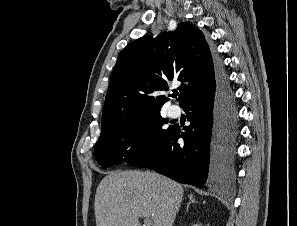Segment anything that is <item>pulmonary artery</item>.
Segmentation results:
<instances>
[{"label":"pulmonary artery","instance_id":"1","mask_svg":"<svg viewBox=\"0 0 297 226\" xmlns=\"http://www.w3.org/2000/svg\"><path fill=\"white\" fill-rule=\"evenodd\" d=\"M169 115L172 118H177L181 115V109L178 105H171L169 107Z\"/></svg>","mask_w":297,"mask_h":226}]
</instances>
